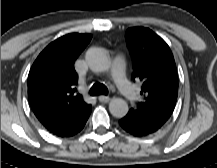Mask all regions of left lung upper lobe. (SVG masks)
<instances>
[{"mask_svg": "<svg viewBox=\"0 0 217 168\" xmlns=\"http://www.w3.org/2000/svg\"><path fill=\"white\" fill-rule=\"evenodd\" d=\"M134 60L133 79L140 80L144 96L129 113L164 125L173 113L178 95V79L173 54L166 42L145 27L126 32Z\"/></svg>", "mask_w": 217, "mask_h": 168, "instance_id": "obj_1", "label": "left lung upper lobe"}]
</instances>
